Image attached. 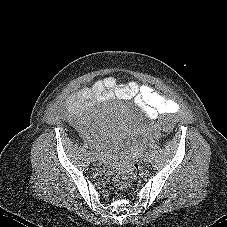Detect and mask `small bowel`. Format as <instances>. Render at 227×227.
I'll return each mask as SVG.
<instances>
[{
  "label": "small bowel",
  "mask_w": 227,
  "mask_h": 227,
  "mask_svg": "<svg viewBox=\"0 0 227 227\" xmlns=\"http://www.w3.org/2000/svg\"><path fill=\"white\" fill-rule=\"evenodd\" d=\"M117 97L121 99H136L141 103L151 118L164 114H176L179 103L171 98H165L153 90L149 85H139L136 82L120 84L112 76L96 80L90 86H83L70 95L65 103L69 118L78 126L83 135H86V112L97 102ZM93 150L101 152L110 147L111 142L106 138H89Z\"/></svg>",
  "instance_id": "c3829d8e"
}]
</instances>
